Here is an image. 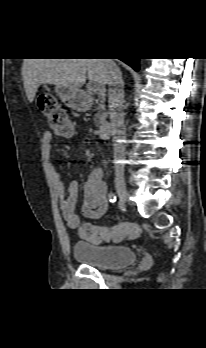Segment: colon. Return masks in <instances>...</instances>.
<instances>
[{
  "label": "colon",
  "instance_id": "colon-1",
  "mask_svg": "<svg viewBox=\"0 0 206 348\" xmlns=\"http://www.w3.org/2000/svg\"><path fill=\"white\" fill-rule=\"evenodd\" d=\"M38 107L47 118L53 133L69 137L73 134V125L64 108L52 94H42L38 98ZM141 233V228L134 222H121L112 227L84 224L79 228V235L90 242L107 241L121 242L124 239H135Z\"/></svg>",
  "mask_w": 206,
  "mask_h": 348
}]
</instances>
